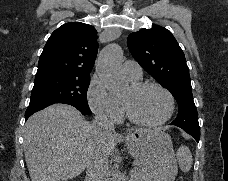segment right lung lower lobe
I'll return each mask as SVG.
<instances>
[{
  "mask_svg": "<svg viewBox=\"0 0 228 181\" xmlns=\"http://www.w3.org/2000/svg\"><path fill=\"white\" fill-rule=\"evenodd\" d=\"M51 104H47V105H38V106H29L26 110V113H25V120H27L33 113L39 111V110H42L44 108H46L47 106H49ZM83 115H89V114H85V113H82Z\"/></svg>",
  "mask_w": 228,
  "mask_h": 181,
  "instance_id": "right-lung-lower-lobe-1",
  "label": "right lung lower lobe"
}]
</instances>
